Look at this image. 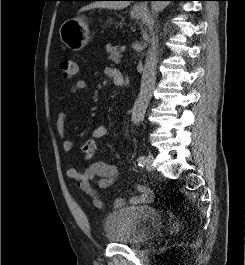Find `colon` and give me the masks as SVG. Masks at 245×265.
<instances>
[{"mask_svg": "<svg viewBox=\"0 0 245 265\" xmlns=\"http://www.w3.org/2000/svg\"><path fill=\"white\" fill-rule=\"evenodd\" d=\"M60 68L68 79H73L77 75V64L71 59L61 60ZM81 150L86 159H92L96 153V143L90 140L86 141Z\"/></svg>", "mask_w": 245, "mask_h": 265, "instance_id": "obj_1", "label": "colon"}]
</instances>
